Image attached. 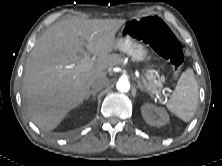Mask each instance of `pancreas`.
<instances>
[{
    "instance_id": "1",
    "label": "pancreas",
    "mask_w": 222,
    "mask_h": 166,
    "mask_svg": "<svg viewBox=\"0 0 222 166\" xmlns=\"http://www.w3.org/2000/svg\"><path fill=\"white\" fill-rule=\"evenodd\" d=\"M155 70H148L146 72V79L148 80V88L149 91L152 94L160 95V89L162 88V81L163 79L161 78L157 83H154V79L157 77Z\"/></svg>"
}]
</instances>
